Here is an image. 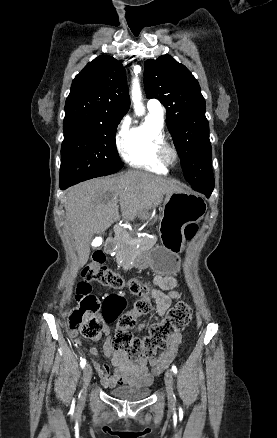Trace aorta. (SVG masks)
I'll return each instance as SVG.
<instances>
[{
  "label": "aorta",
  "instance_id": "aorta-1",
  "mask_svg": "<svg viewBox=\"0 0 277 438\" xmlns=\"http://www.w3.org/2000/svg\"><path fill=\"white\" fill-rule=\"evenodd\" d=\"M141 100H142L141 88L139 84V79L136 77L133 80L132 101L134 103V109L137 115H142L144 113V107Z\"/></svg>",
  "mask_w": 277,
  "mask_h": 438
}]
</instances>
